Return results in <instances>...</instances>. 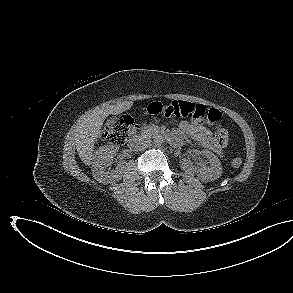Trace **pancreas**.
Returning a JSON list of instances; mask_svg holds the SVG:
<instances>
[{
    "mask_svg": "<svg viewBox=\"0 0 293 293\" xmlns=\"http://www.w3.org/2000/svg\"><path fill=\"white\" fill-rule=\"evenodd\" d=\"M159 131V127L155 125H148L143 129V132L148 135H156L159 133Z\"/></svg>",
    "mask_w": 293,
    "mask_h": 293,
    "instance_id": "pancreas-1",
    "label": "pancreas"
}]
</instances>
